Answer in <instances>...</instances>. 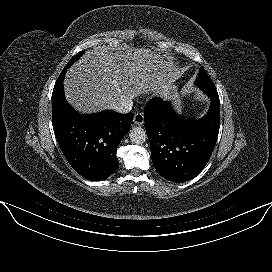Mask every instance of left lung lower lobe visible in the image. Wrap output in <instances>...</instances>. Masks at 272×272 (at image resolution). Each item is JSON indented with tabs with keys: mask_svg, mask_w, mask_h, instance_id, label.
Returning <instances> with one entry per match:
<instances>
[{
	"mask_svg": "<svg viewBox=\"0 0 272 272\" xmlns=\"http://www.w3.org/2000/svg\"><path fill=\"white\" fill-rule=\"evenodd\" d=\"M211 98L207 115L187 120L177 115L170 102L150 100L144 109L151 158L164 178L182 183L196 177L208 163L219 132L220 101L214 85L201 87Z\"/></svg>",
	"mask_w": 272,
	"mask_h": 272,
	"instance_id": "1",
	"label": "left lung lower lobe"
}]
</instances>
